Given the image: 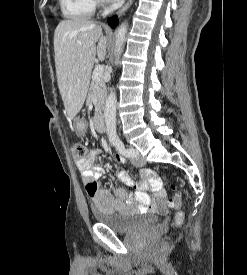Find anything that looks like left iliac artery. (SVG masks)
Instances as JSON below:
<instances>
[{
  "label": "left iliac artery",
  "instance_id": "1",
  "mask_svg": "<svg viewBox=\"0 0 247 275\" xmlns=\"http://www.w3.org/2000/svg\"><path fill=\"white\" fill-rule=\"evenodd\" d=\"M113 144L115 145L118 152L124 155L125 157H128V158L135 157L134 151L131 148H125L124 143L119 138H115L113 140Z\"/></svg>",
  "mask_w": 247,
  "mask_h": 275
}]
</instances>
